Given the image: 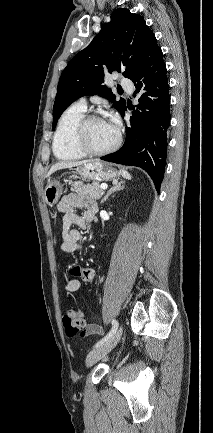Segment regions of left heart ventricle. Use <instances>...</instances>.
Masks as SVG:
<instances>
[{"label":"left heart ventricle","mask_w":213,"mask_h":433,"mask_svg":"<svg viewBox=\"0 0 213 433\" xmlns=\"http://www.w3.org/2000/svg\"><path fill=\"white\" fill-rule=\"evenodd\" d=\"M86 138L91 148L104 150L115 143L117 129L106 120H94L87 127Z\"/></svg>","instance_id":"1"}]
</instances>
